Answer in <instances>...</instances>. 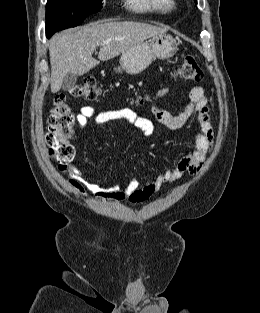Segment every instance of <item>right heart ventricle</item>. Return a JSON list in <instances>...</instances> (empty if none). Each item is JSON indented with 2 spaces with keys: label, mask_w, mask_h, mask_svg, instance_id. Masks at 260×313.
Returning a JSON list of instances; mask_svg holds the SVG:
<instances>
[{
  "label": "right heart ventricle",
  "mask_w": 260,
  "mask_h": 313,
  "mask_svg": "<svg viewBox=\"0 0 260 313\" xmlns=\"http://www.w3.org/2000/svg\"><path fill=\"white\" fill-rule=\"evenodd\" d=\"M127 2L133 10L141 13L167 14L175 8L174 0H127Z\"/></svg>",
  "instance_id": "1"
}]
</instances>
